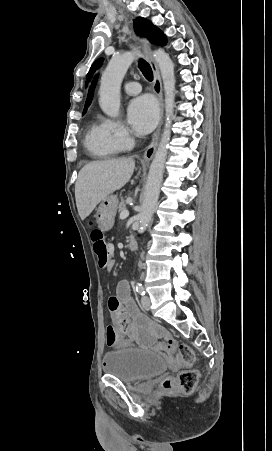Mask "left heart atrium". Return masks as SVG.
I'll list each match as a JSON object with an SVG mask.
<instances>
[{
    "instance_id": "39dd6f15",
    "label": "left heart atrium",
    "mask_w": 272,
    "mask_h": 451,
    "mask_svg": "<svg viewBox=\"0 0 272 451\" xmlns=\"http://www.w3.org/2000/svg\"><path fill=\"white\" fill-rule=\"evenodd\" d=\"M157 120V106L152 97L143 96L134 100L128 110V122L138 134L149 132Z\"/></svg>"
}]
</instances>
